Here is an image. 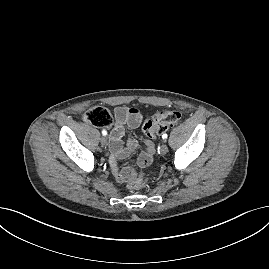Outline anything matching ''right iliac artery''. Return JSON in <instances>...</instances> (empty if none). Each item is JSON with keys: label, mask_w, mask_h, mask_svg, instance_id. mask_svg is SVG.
<instances>
[{"label": "right iliac artery", "mask_w": 269, "mask_h": 269, "mask_svg": "<svg viewBox=\"0 0 269 269\" xmlns=\"http://www.w3.org/2000/svg\"><path fill=\"white\" fill-rule=\"evenodd\" d=\"M102 134H103L104 136H106V135H107V131H106V130H102Z\"/></svg>", "instance_id": "obj_1"}]
</instances>
